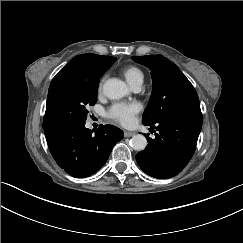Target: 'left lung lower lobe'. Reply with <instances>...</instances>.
<instances>
[{"instance_id":"1","label":"left lung lower lobe","mask_w":243,"mask_h":243,"mask_svg":"<svg viewBox=\"0 0 243 243\" xmlns=\"http://www.w3.org/2000/svg\"><path fill=\"white\" fill-rule=\"evenodd\" d=\"M201 113L177 112L154 125L155 139L146 135L148 145L136 155L140 168L148 175L168 179L180 173L192 158L202 127Z\"/></svg>"}]
</instances>
